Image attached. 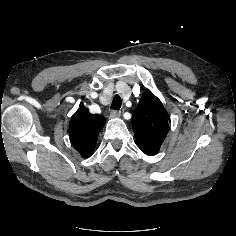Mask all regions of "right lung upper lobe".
<instances>
[{"instance_id":"1","label":"right lung upper lobe","mask_w":236,"mask_h":236,"mask_svg":"<svg viewBox=\"0 0 236 236\" xmlns=\"http://www.w3.org/2000/svg\"><path fill=\"white\" fill-rule=\"evenodd\" d=\"M105 118L91 114L85 107H80L71 117L69 136L75 149L82 157H90L95 149L97 137L105 124Z\"/></svg>"}]
</instances>
